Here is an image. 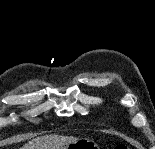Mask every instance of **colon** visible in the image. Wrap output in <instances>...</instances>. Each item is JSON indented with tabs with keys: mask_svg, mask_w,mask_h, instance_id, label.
Returning <instances> with one entry per match:
<instances>
[{
	"mask_svg": "<svg viewBox=\"0 0 155 149\" xmlns=\"http://www.w3.org/2000/svg\"><path fill=\"white\" fill-rule=\"evenodd\" d=\"M115 149H128V146L124 143L118 144Z\"/></svg>",
	"mask_w": 155,
	"mask_h": 149,
	"instance_id": "5ec220e1",
	"label": "colon"
}]
</instances>
